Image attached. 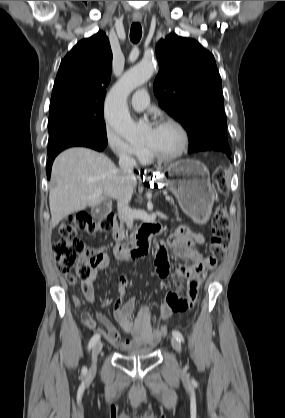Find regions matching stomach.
<instances>
[{"label": "stomach", "mask_w": 285, "mask_h": 418, "mask_svg": "<svg viewBox=\"0 0 285 418\" xmlns=\"http://www.w3.org/2000/svg\"><path fill=\"white\" fill-rule=\"evenodd\" d=\"M157 179L177 198L185 214L196 223H206L214 203L207 167L194 159L179 160L159 172Z\"/></svg>", "instance_id": "stomach-1"}]
</instances>
